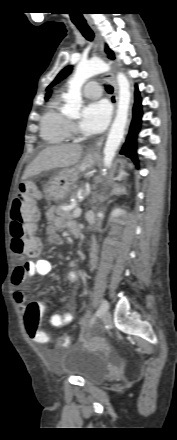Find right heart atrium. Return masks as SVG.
<instances>
[{
	"mask_svg": "<svg viewBox=\"0 0 177 440\" xmlns=\"http://www.w3.org/2000/svg\"><path fill=\"white\" fill-rule=\"evenodd\" d=\"M70 131H74V125L70 123Z\"/></svg>",
	"mask_w": 177,
	"mask_h": 440,
	"instance_id": "d8ad5b80",
	"label": "right heart atrium"
}]
</instances>
